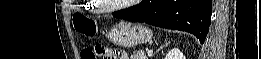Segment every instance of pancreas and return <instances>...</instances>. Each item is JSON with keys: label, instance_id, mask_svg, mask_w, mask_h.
Here are the masks:
<instances>
[{"label": "pancreas", "instance_id": "1", "mask_svg": "<svg viewBox=\"0 0 261 59\" xmlns=\"http://www.w3.org/2000/svg\"><path fill=\"white\" fill-rule=\"evenodd\" d=\"M131 59H149V57L146 55L143 51L133 52L131 55Z\"/></svg>", "mask_w": 261, "mask_h": 59}]
</instances>
